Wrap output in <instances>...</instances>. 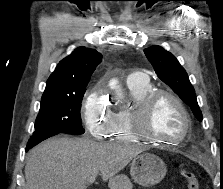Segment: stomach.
Wrapping results in <instances>:
<instances>
[{
	"mask_svg": "<svg viewBox=\"0 0 223 189\" xmlns=\"http://www.w3.org/2000/svg\"><path fill=\"white\" fill-rule=\"evenodd\" d=\"M166 172L167 169L163 160L151 153H142L135 156L130 164L132 178L142 186H152L159 183Z\"/></svg>",
	"mask_w": 223,
	"mask_h": 189,
	"instance_id": "0dacf381",
	"label": "stomach"
}]
</instances>
